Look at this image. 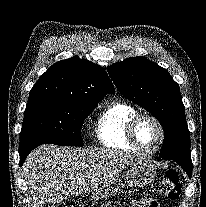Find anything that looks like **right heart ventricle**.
<instances>
[{
  "mask_svg": "<svg viewBox=\"0 0 206 207\" xmlns=\"http://www.w3.org/2000/svg\"><path fill=\"white\" fill-rule=\"evenodd\" d=\"M138 114L129 103L115 101L109 104L98 116L95 131L99 143L112 151H133L126 136L129 121Z\"/></svg>",
  "mask_w": 206,
  "mask_h": 207,
  "instance_id": "e07e8e85",
  "label": "right heart ventricle"
}]
</instances>
